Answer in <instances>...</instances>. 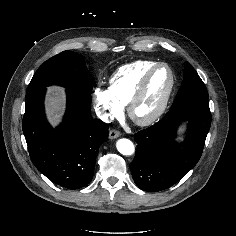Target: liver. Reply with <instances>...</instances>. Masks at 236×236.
<instances>
[{"label":"liver","instance_id":"1","mask_svg":"<svg viewBox=\"0 0 236 236\" xmlns=\"http://www.w3.org/2000/svg\"><path fill=\"white\" fill-rule=\"evenodd\" d=\"M64 97L61 94V89L57 87L49 88L47 97V113L50 122L56 125L62 115Z\"/></svg>","mask_w":236,"mask_h":236}]
</instances>
